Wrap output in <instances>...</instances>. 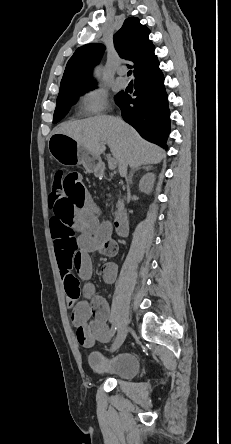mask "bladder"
I'll use <instances>...</instances> for the list:
<instances>
[{
  "label": "bladder",
  "mask_w": 231,
  "mask_h": 444,
  "mask_svg": "<svg viewBox=\"0 0 231 444\" xmlns=\"http://www.w3.org/2000/svg\"><path fill=\"white\" fill-rule=\"evenodd\" d=\"M89 364L98 376L122 380L133 378L140 369L138 356L131 352H122L109 358L93 353L89 356Z\"/></svg>",
  "instance_id": "obj_1"
}]
</instances>
